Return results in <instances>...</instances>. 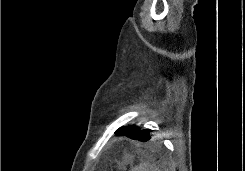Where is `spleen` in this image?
<instances>
[{"label": "spleen", "mask_w": 245, "mask_h": 171, "mask_svg": "<svg viewBox=\"0 0 245 171\" xmlns=\"http://www.w3.org/2000/svg\"><path fill=\"white\" fill-rule=\"evenodd\" d=\"M131 171H161L155 164H150L149 162L140 163L135 166Z\"/></svg>", "instance_id": "3e777b00"}]
</instances>
